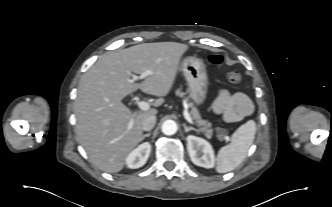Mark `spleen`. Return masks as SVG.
<instances>
[{"label":"spleen","mask_w":332,"mask_h":207,"mask_svg":"<svg viewBox=\"0 0 332 207\" xmlns=\"http://www.w3.org/2000/svg\"><path fill=\"white\" fill-rule=\"evenodd\" d=\"M255 132L256 124L253 120H249L232 134L231 143L218 152L216 166L218 173L230 172L242 163L253 143Z\"/></svg>","instance_id":"1"}]
</instances>
